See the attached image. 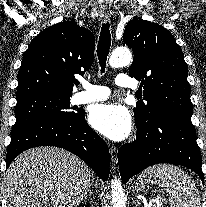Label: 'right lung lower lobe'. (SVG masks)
I'll list each match as a JSON object with an SVG mask.
<instances>
[{
	"label": "right lung lower lobe",
	"instance_id": "right-lung-lower-lobe-1",
	"mask_svg": "<svg viewBox=\"0 0 206 207\" xmlns=\"http://www.w3.org/2000/svg\"><path fill=\"white\" fill-rule=\"evenodd\" d=\"M38 146L66 149L86 162L103 181L109 175L107 144L89 127L84 112L77 118L41 120L11 131L7 168L21 152Z\"/></svg>",
	"mask_w": 206,
	"mask_h": 207
}]
</instances>
